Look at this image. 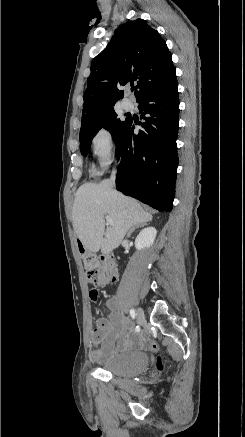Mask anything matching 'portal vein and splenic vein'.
<instances>
[{
  "mask_svg": "<svg viewBox=\"0 0 245 437\" xmlns=\"http://www.w3.org/2000/svg\"><path fill=\"white\" fill-rule=\"evenodd\" d=\"M106 221H107V224L113 225V221L109 216H106Z\"/></svg>",
  "mask_w": 245,
  "mask_h": 437,
  "instance_id": "obj_1",
  "label": "portal vein and splenic vein"
}]
</instances>
